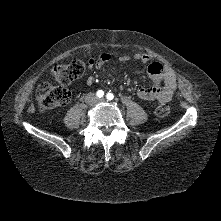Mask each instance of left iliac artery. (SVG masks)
Returning <instances> with one entry per match:
<instances>
[{"label":"left iliac artery","instance_id":"44dca946","mask_svg":"<svg viewBox=\"0 0 221 221\" xmlns=\"http://www.w3.org/2000/svg\"><path fill=\"white\" fill-rule=\"evenodd\" d=\"M106 98L108 100H112L114 98V95L112 93H107Z\"/></svg>","mask_w":221,"mask_h":221}]
</instances>
